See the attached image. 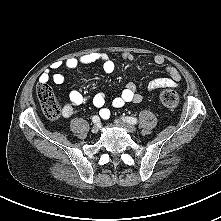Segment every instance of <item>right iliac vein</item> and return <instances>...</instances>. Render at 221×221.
I'll list each match as a JSON object with an SVG mask.
<instances>
[{"instance_id":"obj_1","label":"right iliac vein","mask_w":221,"mask_h":221,"mask_svg":"<svg viewBox=\"0 0 221 221\" xmlns=\"http://www.w3.org/2000/svg\"><path fill=\"white\" fill-rule=\"evenodd\" d=\"M99 129H100L99 125L95 124V125H93L91 131H92V133L97 134L99 132Z\"/></svg>"}]
</instances>
